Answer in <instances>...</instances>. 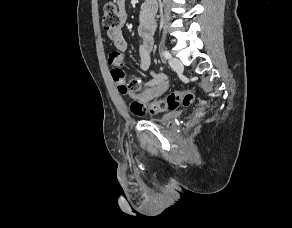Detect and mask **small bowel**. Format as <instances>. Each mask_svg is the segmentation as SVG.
<instances>
[{"label": "small bowel", "instance_id": "c3829d8e", "mask_svg": "<svg viewBox=\"0 0 292 228\" xmlns=\"http://www.w3.org/2000/svg\"><path fill=\"white\" fill-rule=\"evenodd\" d=\"M116 5L120 12L121 24L114 29L107 30V36L114 45L116 52H118L123 59L122 53L128 48L127 41L122 33V25L127 18L126 0H116ZM156 11V4L154 2L150 3L146 1L141 6L139 13L137 32L141 41L139 44L138 67L142 72L149 71L150 77L134 94L137 101L143 104L161 96L168 88L166 74L151 69V53L153 50L154 33L156 30Z\"/></svg>", "mask_w": 292, "mask_h": 228}]
</instances>
